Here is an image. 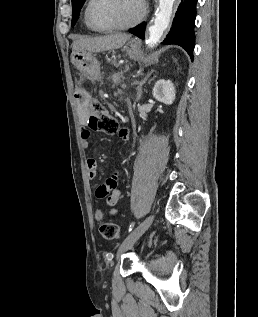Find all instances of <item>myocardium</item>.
I'll return each instance as SVG.
<instances>
[{
    "label": "myocardium",
    "instance_id": "f54148a6",
    "mask_svg": "<svg viewBox=\"0 0 258 317\" xmlns=\"http://www.w3.org/2000/svg\"><path fill=\"white\" fill-rule=\"evenodd\" d=\"M99 0H90L88 5H87V8H86V19H87V22L89 23V25L96 31H102V32H111V31H130V30H133L135 29L140 23L141 21L143 20L144 16H145V5L143 4V2L141 0H134L137 5H138V8H139V12H138V15L136 17V19L134 20V22L130 25H127V26H111V27H102V26H99L97 25L92 17H91V9H92V6Z\"/></svg>",
    "mask_w": 258,
    "mask_h": 317
}]
</instances>
